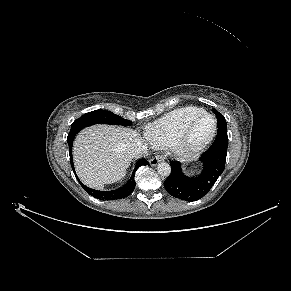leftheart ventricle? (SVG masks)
<instances>
[{
	"mask_svg": "<svg viewBox=\"0 0 291 291\" xmlns=\"http://www.w3.org/2000/svg\"><path fill=\"white\" fill-rule=\"evenodd\" d=\"M213 129V120L210 117L203 118L194 128L192 140L200 142L204 140Z\"/></svg>",
	"mask_w": 291,
	"mask_h": 291,
	"instance_id": "b2bd125f",
	"label": "left heart ventricle"
}]
</instances>
